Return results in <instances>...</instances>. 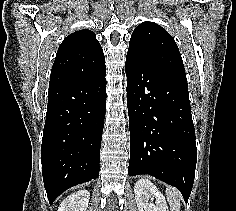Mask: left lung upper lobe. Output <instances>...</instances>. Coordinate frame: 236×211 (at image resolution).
Here are the masks:
<instances>
[{
	"mask_svg": "<svg viewBox=\"0 0 236 211\" xmlns=\"http://www.w3.org/2000/svg\"><path fill=\"white\" fill-rule=\"evenodd\" d=\"M127 57L187 81L183 61L174 39L156 23L143 22L135 28Z\"/></svg>",
	"mask_w": 236,
	"mask_h": 211,
	"instance_id": "5c2ea615",
	"label": "left lung upper lobe"
}]
</instances>
